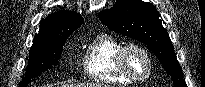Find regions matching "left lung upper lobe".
I'll return each instance as SVG.
<instances>
[{
    "mask_svg": "<svg viewBox=\"0 0 205 87\" xmlns=\"http://www.w3.org/2000/svg\"><path fill=\"white\" fill-rule=\"evenodd\" d=\"M111 30L145 43L163 64L175 87H187L173 45L153 4L142 0H118L113 8L99 12Z\"/></svg>",
    "mask_w": 205,
    "mask_h": 87,
    "instance_id": "obj_1",
    "label": "left lung upper lobe"
}]
</instances>
